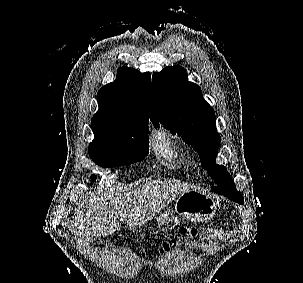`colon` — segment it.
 Instances as JSON below:
<instances>
[{
  "label": "colon",
  "mask_w": 303,
  "mask_h": 283,
  "mask_svg": "<svg viewBox=\"0 0 303 283\" xmlns=\"http://www.w3.org/2000/svg\"><path fill=\"white\" fill-rule=\"evenodd\" d=\"M194 234L195 232L192 229H182L179 236L164 241L161 245V250H169L179 243L182 236H194Z\"/></svg>",
  "instance_id": "colon-1"
}]
</instances>
